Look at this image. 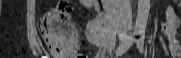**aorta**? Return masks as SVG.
I'll return each instance as SVG.
<instances>
[{
    "label": "aorta",
    "mask_w": 181,
    "mask_h": 58,
    "mask_svg": "<svg viewBox=\"0 0 181 58\" xmlns=\"http://www.w3.org/2000/svg\"><path fill=\"white\" fill-rule=\"evenodd\" d=\"M150 10V0H138V10L134 31L136 33H144L148 21Z\"/></svg>",
    "instance_id": "1"
}]
</instances>
